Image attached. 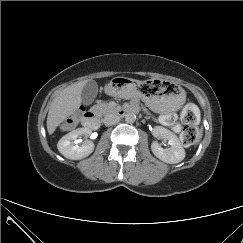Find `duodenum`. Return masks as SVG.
I'll list each match as a JSON object with an SVG mask.
<instances>
[{"label": "duodenum", "mask_w": 243, "mask_h": 243, "mask_svg": "<svg viewBox=\"0 0 243 243\" xmlns=\"http://www.w3.org/2000/svg\"><path fill=\"white\" fill-rule=\"evenodd\" d=\"M132 108L131 107H123V108H117L114 110L115 114L123 117L126 114L132 112ZM82 123L85 127L89 128V129H97L100 125V121H99V117L96 114V112L89 110L87 111L83 118H82Z\"/></svg>", "instance_id": "1"}]
</instances>
